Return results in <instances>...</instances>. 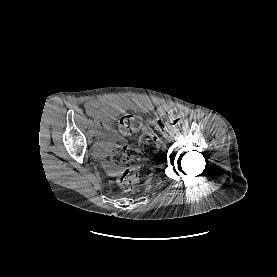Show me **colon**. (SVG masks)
Instances as JSON below:
<instances>
[{
	"mask_svg": "<svg viewBox=\"0 0 277 277\" xmlns=\"http://www.w3.org/2000/svg\"><path fill=\"white\" fill-rule=\"evenodd\" d=\"M180 121V113L177 110L161 115L152 125L150 131L145 133L136 146L109 145L105 148V154L109 162L114 165H130L117 175V184L126 191L133 190L139 183V172L134 167L143 158L150 157L159 150L160 138L165 131L173 128ZM142 128V119L135 114H126L118 121V129L124 135H129Z\"/></svg>",
	"mask_w": 277,
	"mask_h": 277,
	"instance_id": "obj_1",
	"label": "colon"
}]
</instances>
